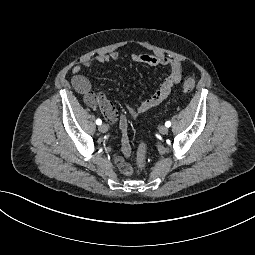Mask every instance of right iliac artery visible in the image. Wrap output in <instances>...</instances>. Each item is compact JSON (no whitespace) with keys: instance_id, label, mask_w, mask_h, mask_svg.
<instances>
[{"instance_id":"1","label":"right iliac artery","mask_w":255,"mask_h":255,"mask_svg":"<svg viewBox=\"0 0 255 255\" xmlns=\"http://www.w3.org/2000/svg\"><path fill=\"white\" fill-rule=\"evenodd\" d=\"M101 123H102V121H101L100 119H97V120H96V124H97V125H101Z\"/></svg>"}]
</instances>
